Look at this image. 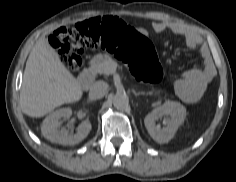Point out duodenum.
I'll return each instance as SVG.
<instances>
[{"label":"duodenum","instance_id":"410a0bca","mask_svg":"<svg viewBox=\"0 0 236 182\" xmlns=\"http://www.w3.org/2000/svg\"><path fill=\"white\" fill-rule=\"evenodd\" d=\"M94 74L91 70H86L84 73H83V76L81 78V81H80V86L82 89L86 90L88 88L91 87V85L93 84L94 82Z\"/></svg>","mask_w":236,"mask_h":182}]
</instances>
